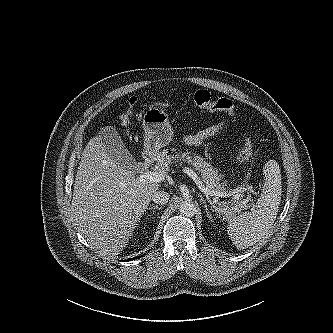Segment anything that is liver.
I'll return each instance as SVG.
<instances>
[{"label":"liver","instance_id":"6515ba94","mask_svg":"<svg viewBox=\"0 0 333 333\" xmlns=\"http://www.w3.org/2000/svg\"><path fill=\"white\" fill-rule=\"evenodd\" d=\"M157 183L141 182L105 152L101 137L88 142L75 178V224L102 256L114 257L127 245L148 208Z\"/></svg>","mask_w":333,"mask_h":333}]
</instances>
